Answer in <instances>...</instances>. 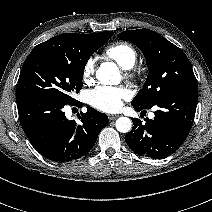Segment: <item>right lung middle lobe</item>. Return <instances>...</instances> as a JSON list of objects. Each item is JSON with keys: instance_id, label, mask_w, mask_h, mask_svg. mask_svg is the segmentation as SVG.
Returning a JSON list of instances; mask_svg holds the SVG:
<instances>
[{"instance_id": "right-lung-middle-lobe-1", "label": "right lung middle lobe", "mask_w": 212, "mask_h": 212, "mask_svg": "<svg viewBox=\"0 0 212 212\" xmlns=\"http://www.w3.org/2000/svg\"><path fill=\"white\" fill-rule=\"evenodd\" d=\"M112 35V31L77 35L60 51L33 49L21 70L16 96L42 94L74 103L70 94L82 88L83 71L89 57Z\"/></svg>"}]
</instances>
